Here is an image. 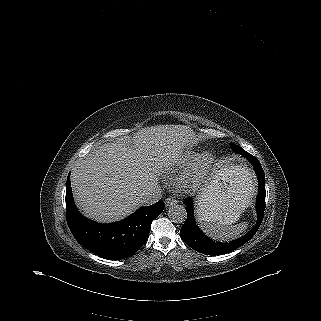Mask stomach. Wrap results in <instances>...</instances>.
Returning a JSON list of instances; mask_svg holds the SVG:
<instances>
[{"instance_id":"0dacf381","label":"stomach","mask_w":321,"mask_h":321,"mask_svg":"<svg viewBox=\"0 0 321 321\" xmlns=\"http://www.w3.org/2000/svg\"><path fill=\"white\" fill-rule=\"evenodd\" d=\"M255 182L251 170L237 159L226 160L201 192L197 209L219 206L229 223L236 222L251 202Z\"/></svg>"}]
</instances>
